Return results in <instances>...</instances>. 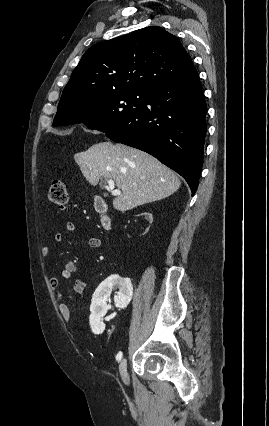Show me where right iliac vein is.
Instances as JSON below:
<instances>
[{"mask_svg":"<svg viewBox=\"0 0 269 426\" xmlns=\"http://www.w3.org/2000/svg\"><path fill=\"white\" fill-rule=\"evenodd\" d=\"M119 371H120V375L121 378L123 380V382L125 384H129V375L127 372V360L126 359H122L120 364H119Z\"/></svg>","mask_w":269,"mask_h":426,"instance_id":"1","label":"right iliac vein"}]
</instances>
